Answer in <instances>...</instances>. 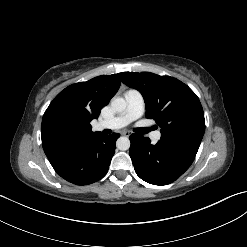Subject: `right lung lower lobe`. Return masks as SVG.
<instances>
[{"mask_svg": "<svg viewBox=\"0 0 247 247\" xmlns=\"http://www.w3.org/2000/svg\"><path fill=\"white\" fill-rule=\"evenodd\" d=\"M119 134L95 136L79 149L49 158L62 178L76 185H87L103 178L115 153Z\"/></svg>", "mask_w": 247, "mask_h": 247, "instance_id": "98d812e1", "label": "right lung lower lobe"}]
</instances>
